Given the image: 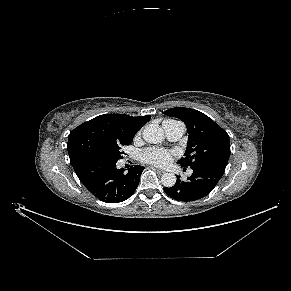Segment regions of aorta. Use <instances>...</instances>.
Here are the masks:
<instances>
[{
  "label": "aorta",
  "mask_w": 291,
  "mask_h": 291,
  "mask_svg": "<svg viewBox=\"0 0 291 291\" xmlns=\"http://www.w3.org/2000/svg\"><path fill=\"white\" fill-rule=\"evenodd\" d=\"M143 139L152 144L161 143L164 139V133L155 125H148L143 130ZM176 176L173 173H164L161 182L165 187H172L176 183Z\"/></svg>",
  "instance_id": "762f6f07"
}]
</instances>
